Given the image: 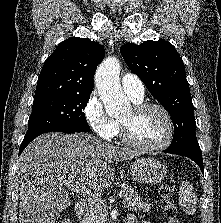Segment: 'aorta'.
I'll return each mask as SVG.
<instances>
[{
	"label": "aorta",
	"instance_id": "1",
	"mask_svg": "<svg viewBox=\"0 0 221 223\" xmlns=\"http://www.w3.org/2000/svg\"><path fill=\"white\" fill-rule=\"evenodd\" d=\"M120 62L115 57L106 58L97 68L95 84L110 116H118L130 108V101L122 91L120 81Z\"/></svg>",
	"mask_w": 221,
	"mask_h": 223
}]
</instances>
